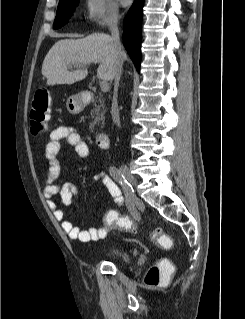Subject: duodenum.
I'll return each mask as SVG.
<instances>
[{"mask_svg": "<svg viewBox=\"0 0 245 319\" xmlns=\"http://www.w3.org/2000/svg\"><path fill=\"white\" fill-rule=\"evenodd\" d=\"M96 143L101 149H108L110 146V137L106 132H100L97 134Z\"/></svg>", "mask_w": 245, "mask_h": 319, "instance_id": "1", "label": "duodenum"}]
</instances>
